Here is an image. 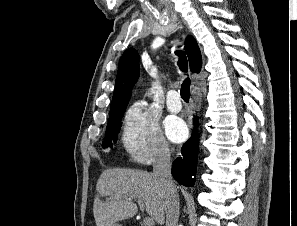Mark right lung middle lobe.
<instances>
[{
  "instance_id": "dd1d6c3e",
  "label": "right lung middle lobe",
  "mask_w": 297,
  "mask_h": 226,
  "mask_svg": "<svg viewBox=\"0 0 297 226\" xmlns=\"http://www.w3.org/2000/svg\"><path fill=\"white\" fill-rule=\"evenodd\" d=\"M125 110L126 105L110 109V117L107 125L106 138L103 142L104 148L111 145L112 139L114 140V142L117 140V133L119 132V129L121 127V119Z\"/></svg>"
}]
</instances>
